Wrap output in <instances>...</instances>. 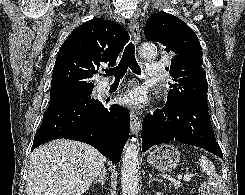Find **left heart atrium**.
I'll use <instances>...</instances> for the list:
<instances>
[{
	"mask_svg": "<svg viewBox=\"0 0 245 195\" xmlns=\"http://www.w3.org/2000/svg\"><path fill=\"white\" fill-rule=\"evenodd\" d=\"M121 101L123 104L127 106L139 108L147 103L148 97H147L146 92L143 89L134 88L128 91L127 93H125L121 97Z\"/></svg>",
	"mask_w": 245,
	"mask_h": 195,
	"instance_id": "1",
	"label": "left heart atrium"
}]
</instances>
